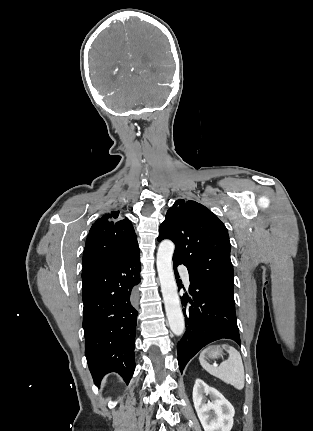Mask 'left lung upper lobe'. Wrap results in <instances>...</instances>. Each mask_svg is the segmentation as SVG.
<instances>
[{"instance_id": "obj_1", "label": "left lung upper lobe", "mask_w": 313, "mask_h": 431, "mask_svg": "<svg viewBox=\"0 0 313 431\" xmlns=\"http://www.w3.org/2000/svg\"><path fill=\"white\" fill-rule=\"evenodd\" d=\"M163 239L175 243L173 261L185 265L193 281L234 291L228 231L205 206L177 200L160 225L158 241Z\"/></svg>"}]
</instances>
